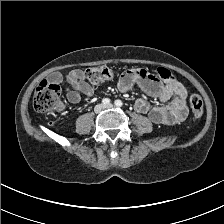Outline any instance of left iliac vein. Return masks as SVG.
<instances>
[{
	"instance_id": "4c4485c4",
	"label": "left iliac vein",
	"mask_w": 224,
	"mask_h": 224,
	"mask_svg": "<svg viewBox=\"0 0 224 224\" xmlns=\"http://www.w3.org/2000/svg\"><path fill=\"white\" fill-rule=\"evenodd\" d=\"M113 105L112 104H109V105H106L104 108H112Z\"/></svg>"
}]
</instances>
